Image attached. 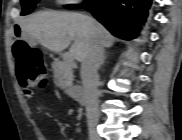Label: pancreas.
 Listing matches in <instances>:
<instances>
[{
  "label": "pancreas",
  "instance_id": "1",
  "mask_svg": "<svg viewBox=\"0 0 182 140\" xmlns=\"http://www.w3.org/2000/svg\"><path fill=\"white\" fill-rule=\"evenodd\" d=\"M54 81L61 89H67L73 82L72 63L65 59H57L52 64Z\"/></svg>",
  "mask_w": 182,
  "mask_h": 140
}]
</instances>
